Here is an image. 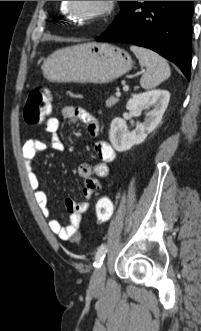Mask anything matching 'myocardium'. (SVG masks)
Returning a JSON list of instances; mask_svg holds the SVG:
<instances>
[{"label":"myocardium","instance_id":"myocardium-1","mask_svg":"<svg viewBox=\"0 0 201 331\" xmlns=\"http://www.w3.org/2000/svg\"><path fill=\"white\" fill-rule=\"evenodd\" d=\"M68 4H69V8L74 16L83 18L86 21L101 20V19L109 16L115 8V1H102L101 7L97 12H95L91 15H81V14H78L77 11L75 10L73 1H68Z\"/></svg>","mask_w":201,"mask_h":331}]
</instances>
